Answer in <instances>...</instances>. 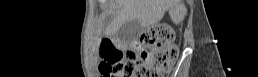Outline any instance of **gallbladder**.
I'll return each instance as SVG.
<instances>
[{"label":"gallbladder","mask_w":258,"mask_h":77,"mask_svg":"<svg viewBox=\"0 0 258 77\" xmlns=\"http://www.w3.org/2000/svg\"><path fill=\"white\" fill-rule=\"evenodd\" d=\"M142 30V26L138 20L125 22L118 31L119 38L124 42H130L136 39Z\"/></svg>","instance_id":"bac80fb5"}]
</instances>
